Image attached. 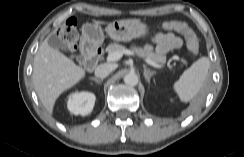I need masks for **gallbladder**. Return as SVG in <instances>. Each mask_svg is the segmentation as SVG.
Returning <instances> with one entry per match:
<instances>
[{
	"label": "gallbladder",
	"instance_id": "bac80fb5",
	"mask_svg": "<svg viewBox=\"0 0 244 157\" xmlns=\"http://www.w3.org/2000/svg\"><path fill=\"white\" fill-rule=\"evenodd\" d=\"M48 44L57 50H62L64 52H69L68 43L61 37L57 35H49L47 37ZM77 61L81 62L82 58L80 56L76 57Z\"/></svg>",
	"mask_w": 244,
	"mask_h": 157
}]
</instances>
